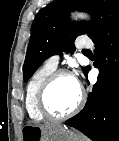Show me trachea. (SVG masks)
<instances>
[{"label": "trachea", "mask_w": 119, "mask_h": 141, "mask_svg": "<svg viewBox=\"0 0 119 141\" xmlns=\"http://www.w3.org/2000/svg\"><path fill=\"white\" fill-rule=\"evenodd\" d=\"M83 52H86V53H88V52H91L90 50H83Z\"/></svg>", "instance_id": "3493384b"}]
</instances>
